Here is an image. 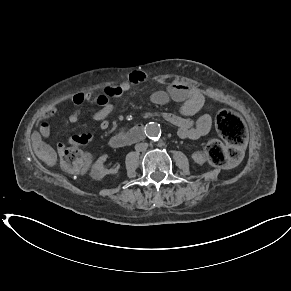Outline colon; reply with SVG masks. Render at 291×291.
Segmentation results:
<instances>
[{
	"label": "colon",
	"mask_w": 291,
	"mask_h": 291,
	"mask_svg": "<svg viewBox=\"0 0 291 291\" xmlns=\"http://www.w3.org/2000/svg\"><path fill=\"white\" fill-rule=\"evenodd\" d=\"M216 128L225 143L210 140L206 146L208 160L220 167L233 164L240 156V148L244 145L246 127L234 111L223 109L216 116ZM71 146L61 154V164L65 170L74 174H83L92 162V155L83 150L81 142H71Z\"/></svg>",
	"instance_id": "1"
}]
</instances>
